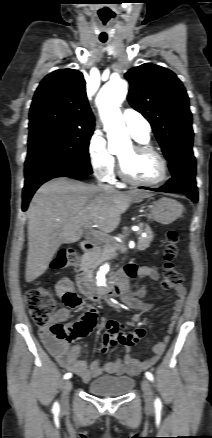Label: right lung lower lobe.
Here are the masks:
<instances>
[{
    "instance_id": "1",
    "label": "right lung lower lobe",
    "mask_w": 212,
    "mask_h": 438,
    "mask_svg": "<svg viewBox=\"0 0 212 438\" xmlns=\"http://www.w3.org/2000/svg\"><path fill=\"white\" fill-rule=\"evenodd\" d=\"M92 173L89 163L78 161L28 160L25 162V185L22 209L25 211L30 199L40 185L56 177H84Z\"/></svg>"
}]
</instances>
